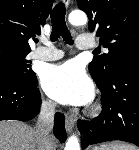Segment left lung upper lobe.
I'll return each mask as SVG.
<instances>
[{"instance_id": "obj_1", "label": "left lung upper lobe", "mask_w": 139, "mask_h": 150, "mask_svg": "<svg viewBox=\"0 0 139 150\" xmlns=\"http://www.w3.org/2000/svg\"><path fill=\"white\" fill-rule=\"evenodd\" d=\"M77 4L89 18V30L109 50L89 64L93 79L103 87L125 59L139 54V0H77Z\"/></svg>"}]
</instances>
